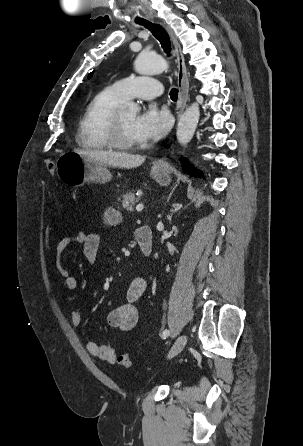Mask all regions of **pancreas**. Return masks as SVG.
<instances>
[{
    "label": "pancreas",
    "instance_id": "obj_1",
    "mask_svg": "<svg viewBox=\"0 0 303 446\" xmlns=\"http://www.w3.org/2000/svg\"><path fill=\"white\" fill-rule=\"evenodd\" d=\"M120 200V198H118ZM139 201V198L135 197V194L132 192L126 193L122 196V206L124 209L128 211H133L134 205Z\"/></svg>",
    "mask_w": 303,
    "mask_h": 446
}]
</instances>
